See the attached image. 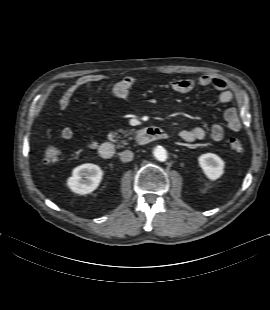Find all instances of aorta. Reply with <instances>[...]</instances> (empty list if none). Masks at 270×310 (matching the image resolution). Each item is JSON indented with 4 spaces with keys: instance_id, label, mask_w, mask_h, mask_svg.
<instances>
[{
    "instance_id": "aorta-1",
    "label": "aorta",
    "mask_w": 270,
    "mask_h": 310,
    "mask_svg": "<svg viewBox=\"0 0 270 310\" xmlns=\"http://www.w3.org/2000/svg\"><path fill=\"white\" fill-rule=\"evenodd\" d=\"M154 156L158 161L164 162L167 159V151L163 147L158 146L154 150Z\"/></svg>"
}]
</instances>
